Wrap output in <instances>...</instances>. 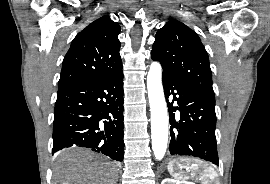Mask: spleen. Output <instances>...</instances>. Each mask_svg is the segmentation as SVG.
<instances>
[{"instance_id":"obj_1","label":"spleen","mask_w":270,"mask_h":184,"mask_svg":"<svg viewBox=\"0 0 270 184\" xmlns=\"http://www.w3.org/2000/svg\"><path fill=\"white\" fill-rule=\"evenodd\" d=\"M183 161L186 170L182 172L181 176H173L175 179L188 184H195L187 181L190 178L199 179L201 184H219L217 181V173L212 167L199 165L198 163H189L186 159H183Z\"/></svg>"}]
</instances>
